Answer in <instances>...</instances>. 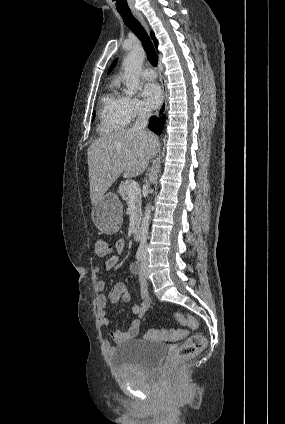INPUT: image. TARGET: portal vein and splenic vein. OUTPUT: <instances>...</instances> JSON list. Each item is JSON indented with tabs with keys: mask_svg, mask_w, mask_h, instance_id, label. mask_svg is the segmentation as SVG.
I'll return each instance as SVG.
<instances>
[{
	"mask_svg": "<svg viewBox=\"0 0 285 424\" xmlns=\"http://www.w3.org/2000/svg\"><path fill=\"white\" fill-rule=\"evenodd\" d=\"M138 191H139V185H138V183L136 181L130 182L129 185H128V194L130 196H133Z\"/></svg>",
	"mask_w": 285,
	"mask_h": 424,
	"instance_id": "portal-vein-and-splenic-vein-1",
	"label": "portal vein and splenic vein"
}]
</instances>
